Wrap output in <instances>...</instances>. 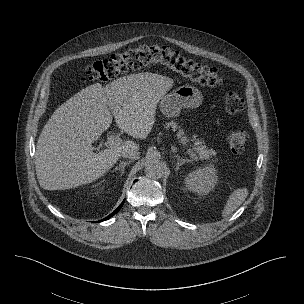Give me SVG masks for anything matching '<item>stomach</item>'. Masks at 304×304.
<instances>
[{
	"mask_svg": "<svg viewBox=\"0 0 304 304\" xmlns=\"http://www.w3.org/2000/svg\"><path fill=\"white\" fill-rule=\"evenodd\" d=\"M201 92L189 85H183L165 94L160 100V111L168 118L177 117L182 108H196L202 103Z\"/></svg>",
	"mask_w": 304,
	"mask_h": 304,
	"instance_id": "1",
	"label": "stomach"
}]
</instances>
